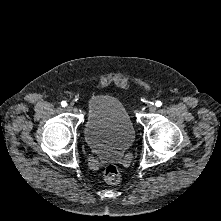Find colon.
Listing matches in <instances>:
<instances>
[{"label":"colon","mask_w":221,"mask_h":221,"mask_svg":"<svg viewBox=\"0 0 221 221\" xmlns=\"http://www.w3.org/2000/svg\"><path fill=\"white\" fill-rule=\"evenodd\" d=\"M103 177L106 182L110 184H117L120 182L121 174L116 163L109 162L103 169Z\"/></svg>","instance_id":"1"}]
</instances>
